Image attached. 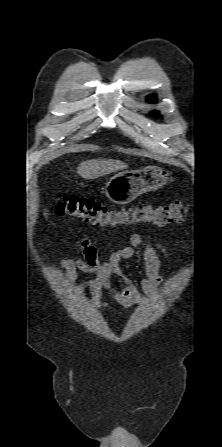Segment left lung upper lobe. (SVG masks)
<instances>
[{
    "mask_svg": "<svg viewBox=\"0 0 222 447\" xmlns=\"http://www.w3.org/2000/svg\"><path fill=\"white\" fill-rule=\"evenodd\" d=\"M149 100L152 101V102H155V101H156V99L153 98V97H151V96L149 97ZM153 114H154V115H157L158 113H157V112H153Z\"/></svg>",
    "mask_w": 222,
    "mask_h": 447,
    "instance_id": "left-lung-upper-lobe-1",
    "label": "left lung upper lobe"
}]
</instances>
